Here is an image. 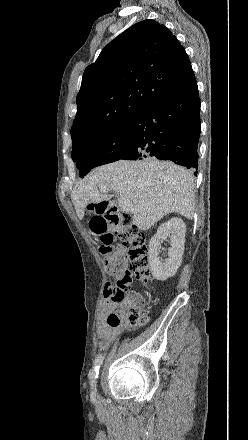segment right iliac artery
I'll return each mask as SVG.
<instances>
[{
	"instance_id": "1",
	"label": "right iliac artery",
	"mask_w": 248,
	"mask_h": 440,
	"mask_svg": "<svg viewBox=\"0 0 248 440\" xmlns=\"http://www.w3.org/2000/svg\"><path fill=\"white\" fill-rule=\"evenodd\" d=\"M103 360H104V356L103 355H98L97 358L95 359L93 368L89 372V378H90L91 386H92V388L94 390H95V387H96V380H97L98 374H99V368H100Z\"/></svg>"
}]
</instances>
